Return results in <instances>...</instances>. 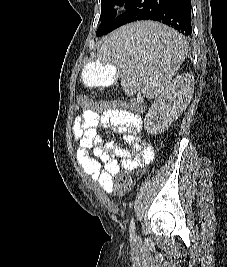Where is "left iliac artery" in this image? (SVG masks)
Listing matches in <instances>:
<instances>
[{"mask_svg":"<svg viewBox=\"0 0 227 267\" xmlns=\"http://www.w3.org/2000/svg\"><path fill=\"white\" fill-rule=\"evenodd\" d=\"M130 234L131 236H134L135 234V223H134V219H131V223H130Z\"/></svg>","mask_w":227,"mask_h":267,"instance_id":"44dca946","label":"left iliac artery"}]
</instances>
